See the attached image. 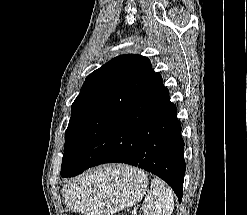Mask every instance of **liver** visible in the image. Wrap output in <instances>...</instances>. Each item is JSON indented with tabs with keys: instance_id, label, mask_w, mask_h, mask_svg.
I'll return each instance as SVG.
<instances>
[{
	"instance_id": "obj_1",
	"label": "liver",
	"mask_w": 247,
	"mask_h": 215,
	"mask_svg": "<svg viewBox=\"0 0 247 215\" xmlns=\"http://www.w3.org/2000/svg\"><path fill=\"white\" fill-rule=\"evenodd\" d=\"M123 168H124L125 170H128V169H129V167H127V166H124Z\"/></svg>"
}]
</instances>
